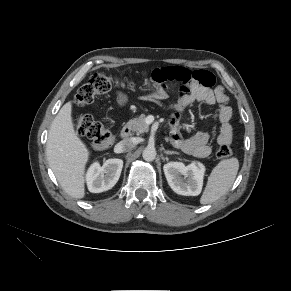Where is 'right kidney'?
I'll list each match as a JSON object with an SVG mask.
<instances>
[{"instance_id": "ca27d5eb", "label": "right kidney", "mask_w": 291, "mask_h": 291, "mask_svg": "<svg viewBox=\"0 0 291 291\" xmlns=\"http://www.w3.org/2000/svg\"><path fill=\"white\" fill-rule=\"evenodd\" d=\"M122 167L121 159H108L102 166L98 162L93 163L86 174L89 191L101 193L114 187L119 180Z\"/></svg>"}]
</instances>
